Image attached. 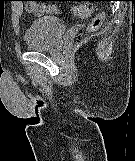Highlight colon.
I'll use <instances>...</instances> for the list:
<instances>
[{
  "label": "colon",
  "instance_id": "obj_1",
  "mask_svg": "<svg viewBox=\"0 0 135 161\" xmlns=\"http://www.w3.org/2000/svg\"><path fill=\"white\" fill-rule=\"evenodd\" d=\"M71 12L72 14L78 17L86 18L92 14L93 6L92 4H89V3L76 4L72 6ZM105 17H106V14L104 12L97 14L89 23L87 27L88 31L94 32L98 30L103 24Z\"/></svg>",
  "mask_w": 135,
  "mask_h": 161
}]
</instances>
